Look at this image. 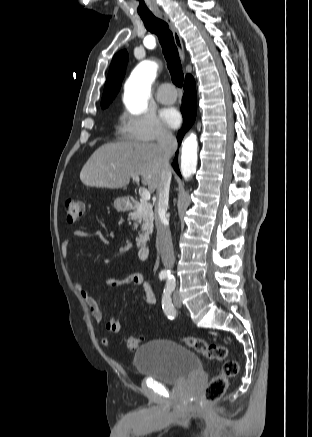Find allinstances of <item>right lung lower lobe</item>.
Masks as SVG:
<instances>
[{"mask_svg": "<svg viewBox=\"0 0 312 437\" xmlns=\"http://www.w3.org/2000/svg\"><path fill=\"white\" fill-rule=\"evenodd\" d=\"M181 112L183 114V128L179 131L177 135L178 144L180 145L184 134L187 130L192 126L195 121L196 113H197V96H196V85L195 80L191 75H187L184 83V96L182 99V107ZM177 155L173 161V168L175 171L181 176L179 173V166L177 163Z\"/></svg>", "mask_w": 312, "mask_h": 437, "instance_id": "98d812e1", "label": "right lung lower lobe"}]
</instances>
